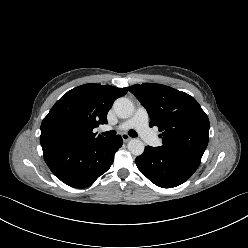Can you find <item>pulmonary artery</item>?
<instances>
[{"label": "pulmonary artery", "mask_w": 248, "mask_h": 248, "mask_svg": "<svg viewBox=\"0 0 248 248\" xmlns=\"http://www.w3.org/2000/svg\"><path fill=\"white\" fill-rule=\"evenodd\" d=\"M148 121L149 116L146 109L143 107H138L132 117L122 122L118 126V129H135L146 143L156 146L160 143V140L149 128Z\"/></svg>", "instance_id": "obj_1"}]
</instances>
